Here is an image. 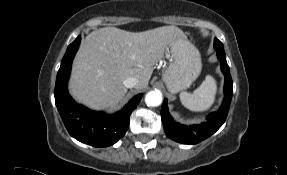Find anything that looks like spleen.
I'll use <instances>...</instances> for the list:
<instances>
[{"instance_id": "1", "label": "spleen", "mask_w": 287, "mask_h": 175, "mask_svg": "<svg viewBox=\"0 0 287 175\" xmlns=\"http://www.w3.org/2000/svg\"><path fill=\"white\" fill-rule=\"evenodd\" d=\"M217 84L211 75H207L201 85L193 92H181L180 100L183 106L191 111L203 112L210 109L215 101Z\"/></svg>"}]
</instances>
